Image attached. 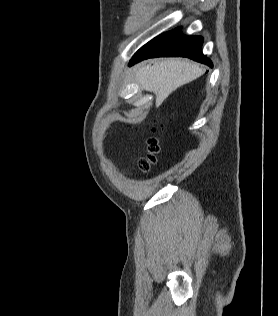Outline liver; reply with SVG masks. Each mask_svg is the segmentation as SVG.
Wrapping results in <instances>:
<instances>
[{
    "label": "liver",
    "mask_w": 278,
    "mask_h": 316,
    "mask_svg": "<svg viewBox=\"0 0 278 316\" xmlns=\"http://www.w3.org/2000/svg\"><path fill=\"white\" fill-rule=\"evenodd\" d=\"M204 73L198 64L180 58L155 60L152 65L146 62L135 68V80L141 89L156 95L159 106L174 90L189 83Z\"/></svg>",
    "instance_id": "6515ba94"
}]
</instances>
